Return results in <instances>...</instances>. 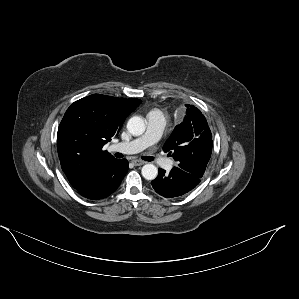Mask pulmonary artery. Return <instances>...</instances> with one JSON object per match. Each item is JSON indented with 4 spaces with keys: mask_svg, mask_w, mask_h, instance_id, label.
Returning <instances> with one entry per match:
<instances>
[{
    "mask_svg": "<svg viewBox=\"0 0 299 299\" xmlns=\"http://www.w3.org/2000/svg\"><path fill=\"white\" fill-rule=\"evenodd\" d=\"M147 129L145 133L131 141L119 142L112 146L113 150L122 153H138L145 148L157 143L166 127L167 118L161 111H153L147 116ZM159 164L166 169H171L173 161L170 159H161Z\"/></svg>",
    "mask_w": 299,
    "mask_h": 299,
    "instance_id": "obj_1",
    "label": "pulmonary artery"
}]
</instances>
